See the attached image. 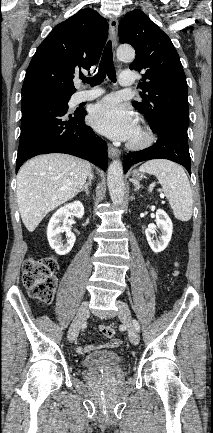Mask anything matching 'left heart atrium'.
Segmentation results:
<instances>
[{"label": "left heart atrium", "instance_id": "1", "mask_svg": "<svg viewBox=\"0 0 213 433\" xmlns=\"http://www.w3.org/2000/svg\"><path fill=\"white\" fill-rule=\"evenodd\" d=\"M89 122L97 131L115 140L131 139L137 129L130 107L114 96L104 98L92 108Z\"/></svg>", "mask_w": 213, "mask_h": 433}]
</instances>
